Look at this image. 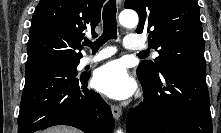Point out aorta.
<instances>
[{
	"label": "aorta",
	"instance_id": "aorta-1",
	"mask_svg": "<svg viewBox=\"0 0 221 133\" xmlns=\"http://www.w3.org/2000/svg\"><path fill=\"white\" fill-rule=\"evenodd\" d=\"M119 22L124 27L133 28L138 25L139 18L136 12L125 10L120 13ZM117 133H122V131L118 130Z\"/></svg>",
	"mask_w": 221,
	"mask_h": 133
}]
</instances>
